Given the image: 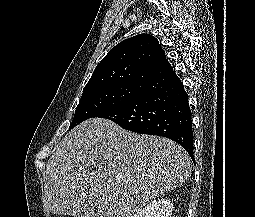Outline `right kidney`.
Wrapping results in <instances>:
<instances>
[{
    "instance_id": "1",
    "label": "right kidney",
    "mask_w": 255,
    "mask_h": 217,
    "mask_svg": "<svg viewBox=\"0 0 255 217\" xmlns=\"http://www.w3.org/2000/svg\"><path fill=\"white\" fill-rule=\"evenodd\" d=\"M172 211L173 203L170 200H153L132 217H171Z\"/></svg>"
}]
</instances>
